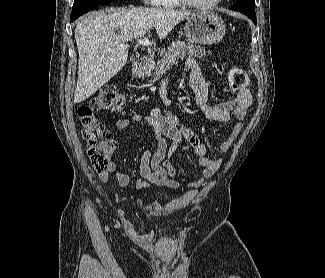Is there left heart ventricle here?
I'll return each mask as SVG.
<instances>
[{
	"mask_svg": "<svg viewBox=\"0 0 325 278\" xmlns=\"http://www.w3.org/2000/svg\"><path fill=\"white\" fill-rule=\"evenodd\" d=\"M193 1L196 2V3L205 4V3L211 2L212 0H193Z\"/></svg>",
	"mask_w": 325,
	"mask_h": 278,
	"instance_id": "left-heart-ventricle-1",
	"label": "left heart ventricle"
}]
</instances>
